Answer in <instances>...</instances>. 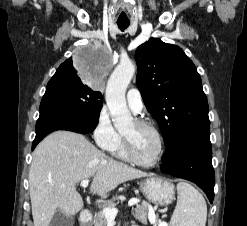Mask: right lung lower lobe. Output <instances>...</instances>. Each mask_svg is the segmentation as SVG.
Instances as JSON below:
<instances>
[{"label": "right lung lower lobe", "instance_id": "right-lung-lower-lobe-1", "mask_svg": "<svg viewBox=\"0 0 247 226\" xmlns=\"http://www.w3.org/2000/svg\"><path fill=\"white\" fill-rule=\"evenodd\" d=\"M97 124L98 122L93 118L80 116L60 106L49 104L40 108L32 150L47 134L55 130L89 133L95 129Z\"/></svg>", "mask_w": 247, "mask_h": 226}]
</instances>
